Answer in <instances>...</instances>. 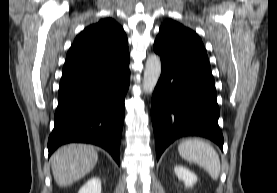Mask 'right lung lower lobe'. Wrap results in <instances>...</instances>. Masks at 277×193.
I'll use <instances>...</instances> for the list:
<instances>
[{"instance_id":"right-lung-lower-lobe-1","label":"right lung lower lobe","mask_w":277,"mask_h":193,"mask_svg":"<svg viewBox=\"0 0 277 193\" xmlns=\"http://www.w3.org/2000/svg\"><path fill=\"white\" fill-rule=\"evenodd\" d=\"M129 62L128 53L95 71L61 78L49 156L63 144L81 142L104 148L120 164Z\"/></svg>"}]
</instances>
